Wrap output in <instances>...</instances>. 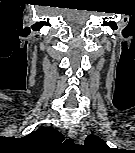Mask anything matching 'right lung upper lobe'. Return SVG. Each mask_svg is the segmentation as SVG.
I'll return each mask as SVG.
<instances>
[{"label": "right lung upper lobe", "mask_w": 135, "mask_h": 153, "mask_svg": "<svg viewBox=\"0 0 135 153\" xmlns=\"http://www.w3.org/2000/svg\"><path fill=\"white\" fill-rule=\"evenodd\" d=\"M23 139L38 145H46L50 143H55L56 141H62L64 139L63 135L55 130L54 128H39L33 131L29 135L23 137Z\"/></svg>", "instance_id": "obj_1"}]
</instances>
